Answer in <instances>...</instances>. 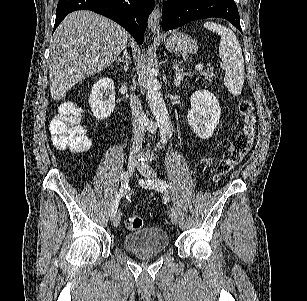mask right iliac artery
<instances>
[{
	"label": "right iliac artery",
	"mask_w": 307,
	"mask_h": 301,
	"mask_svg": "<svg viewBox=\"0 0 307 301\" xmlns=\"http://www.w3.org/2000/svg\"><path fill=\"white\" fill-rule=\"evenodd\" d=\"M121 178V189L119 190L117 196L115 197V200L113 201L112 207H111V219L114 218L117 209H118V205L120 202L121 197L125 194V189L128 187V182L126 181L127 177H126V173L122 172L120 175Z\"/></svg>",
	"instance_id": "1"
}]
</instances>
